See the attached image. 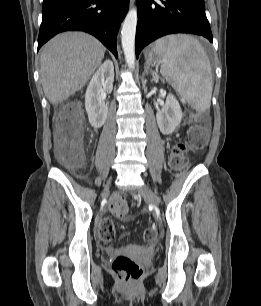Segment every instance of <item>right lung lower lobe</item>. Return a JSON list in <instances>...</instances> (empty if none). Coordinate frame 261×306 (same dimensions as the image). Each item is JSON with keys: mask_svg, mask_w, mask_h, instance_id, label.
Instances as JSON below:
<instances>
[{"mask_svg": "<svg viewBox=\"0 0 261 306\" xmlns=\"http://www.w3.org/2000/svg\"><path fill=\"white\" fill-rule=\"evenodd\" d=\"M128 6L129 0H44L38 49L59 32L81 30L117 57V33Z\"/></svg>", "mask_w": 261, "mask_h": 306, "instance_id": "98d812e1", "label": "right lung lower lobe"}]
</instances>
